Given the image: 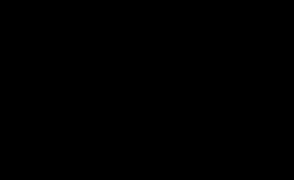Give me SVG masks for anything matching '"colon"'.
Wrapping results in <instances>:
<instances>
[{
	"mask_svg": "<svg viewBox=\"0 0 294 180\" xmlns=\"http://www.w3.org/2000/svg\"><path fill=\"white\" fill-rule=\"evenodd\" d=\"M216 52H217L218 54H221V53H222V48H221V47H218V48L216 49ZM215 97H216V94H215L214 92H212V93L209 94V99H210V100H214Z\"/></svg>",
	"mask_w": 294,
	"mask_h": 180,
	"instance_id": "colon-1",
	"label": "colon"
}]
</instances>
